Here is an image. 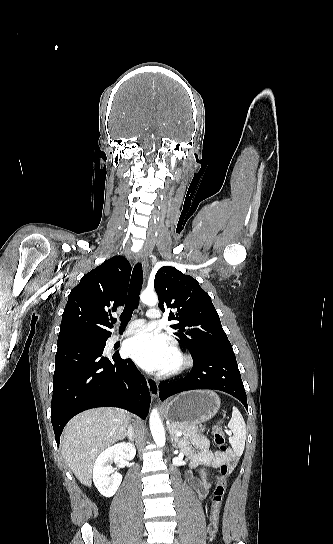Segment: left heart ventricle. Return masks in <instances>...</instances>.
<instances>
[{"label":"left heart ventricle","instance_id":"b2bd125f","mask_svg":"<svg viewBox=\"0 0 333 544\" xmlns=\"http://www.w3.org/2000/svg\"><path fill=\"white\" fill-rule=\"evenodd\" d=\"M174 362H175L174 356L171 355V358H170V360H169V363H168V365H167V368L171 367V366L174 364ZM167 368H166V369H167Z\"/></svg>","mask_w":333,"mask_h":544}]
</instances>
